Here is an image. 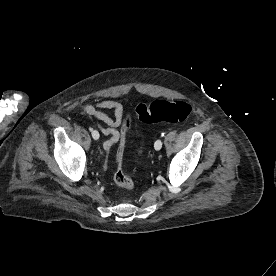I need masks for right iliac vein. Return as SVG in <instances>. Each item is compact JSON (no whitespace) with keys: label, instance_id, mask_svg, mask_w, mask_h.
I'll use <instances>...</instances> for the list:
<instances>
[{"label":"right iliac vein","instance_id":"right-iliac-vein-1","mask_svg":"<svg viewBox=\"0 0 276 276\" xmlns=\"http://www.w3.org/2000/svg\"><path fill=\"white\" fill-rule=\"evenodd\" d=\"M98 135H99L98 131H96V130L92 131V137H93V139L97 140L98 139Z\"/></svg>","mask_w":276,"mask_h":276}]
</instances>
